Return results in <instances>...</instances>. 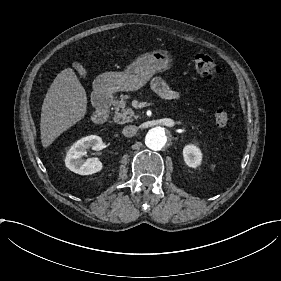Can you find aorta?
<instances>
[{"label":"aorta","mask_w":281,"mask_h":281,"mask_svg":"<svg viewBox=\"0 0 281 281\" xmlns=\"http://www.w3.org/2000/svg\"><path fill=\"white\" fill-rule=\"evenodd\" d=\"M167 133L165 128L155 127L148 131L145 137V144L152 150H161L167 143Z\"/></svg>","instance_id":"1"}]
</instances>
